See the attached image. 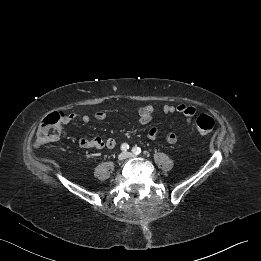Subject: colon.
Here are the masks:
<instances>
[{
  "label": "colon",
  "mask_w": 261,
  "mask_h": 261,
  "mask_svg": "<svg viewBox=\"0 0 261 261\" xmlns=\"http://www.w3.org/2000/svg\"><path fill=\"white\" fill-rule=\"evenodd\" d=\"M69 116L64 112L55 111L45 116L40 122L36 134V144L43 146L55 141L60 135V126L67 122ZM214 119L208 114H200L196 119V129L199 134H207L214 128Z\"/></svg>",
  "instance_id": "5ec220e1"
}]
</instances>
